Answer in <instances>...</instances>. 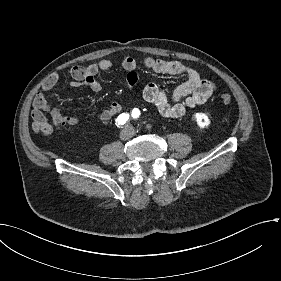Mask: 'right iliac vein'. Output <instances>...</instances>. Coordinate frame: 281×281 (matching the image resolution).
<instances>
[{
	"label": "right iliac vein",
	"instance_id": "right-iliac-vein-1",
	"mask_svg": "<svg viewBox=\"0 0 281 281\" xmlns=\"http://www.w3.org/2000/svg\"><path fill=\"white\" fill-rule=\"evenodd\" d=\"M128 133L126 130H123L121 133H120V138L121 139H125L127 137Z\"/></svg>",
	"mask_w": 281,
	"mask_h": 281
}]
</instances>
